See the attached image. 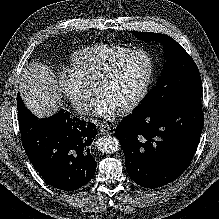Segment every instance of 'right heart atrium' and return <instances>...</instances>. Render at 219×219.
<instances>
[{"label":"right heart atrium","instance_id":"1","mask_svg":"<svg viewBox=\"0 0 219 219\" xmlns=\"http://www.w3.org/2000/svg\"><path fill=\"white\" fill-rule=\"evenodd\" d=\"M57 86L77 113L85 115L89 112L94 103V94L87 90L84 82L71 69L59 74Z\"/></svg>","mask_w":219,"mask_h":219}]
</instances>
